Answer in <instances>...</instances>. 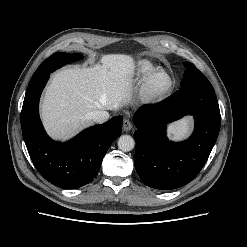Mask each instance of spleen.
Returning a JSON list of instances; mask_svg holds the SVG:
<instances>
[{
	"mask_svg": "<svg viewBox=\"0 0 247 247\" xmlns=\"http://www.w3.org/2000/svg\"><path fill=\"white\" fill-rule=\"evenodd\" d=\"M191 129V119L184 118L180 121L173 123L170 128L169 132L170 135L173 136L174 140H182L189 134Z\"/></svg>",
	"mask_w": 247,
	"mask_h": 247,
	"instance_id": "obj_1",
	"label": "spleen"
}]
</instances>
